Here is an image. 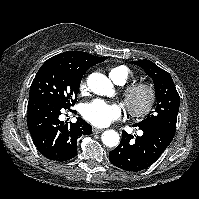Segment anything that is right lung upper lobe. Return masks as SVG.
Instances as JSON below:
<instances>
[{
  "mask_svg": "<svg viewBox=\"0 0 199 199\" xmlns=\"http://www.w3.org/2000/svg\"><path fill=\"white\" fill-rule=\"evenodd\" d=\"M104 60H106L105 57L94 56L82 51H67L48 59L47 62L84 75L91 66Z\"/></svg>",
  "mask_w": 199,
  "mask_h": 199,
  "instance_id": "right-lung-upper-lobe-1",
  "label": "right lung upper lobe"
}]
</instances>
